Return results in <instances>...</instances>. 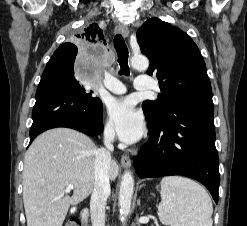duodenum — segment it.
I'll use <instances>...</instances> for the list:
<instances>
[{"instance_id": "410a0bca", "label": "duodenum", "mask_w": 247, "mask_h": 226, "mask_svg": "<svg viewBox=\"0 0 247 226\" xmlns=\"http://www.w3.org/2000/svg\"><path fill=\"white\" fill-rule=\"evenodd\" d=\"M80 221L82 226H87L89 221V209L83 208L80 212Z\"/></svg>"}]
</instances>
